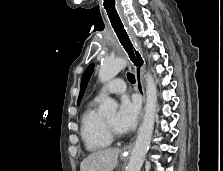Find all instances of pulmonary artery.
Segmentation results:
<instances>
[{"instance_id":"1","label":"pulmonary artery","mask_w":223,"mask_h":171,"mask_svg":"<svg viewBox=\"0 0 223 171\" xmlns=\"http://www.w3.org/2000/svg\"><path fill=\"white\" fill-rule=\"evenodd\" d=\"M126 90V84L123 79L117 78L110 81L104 88L105 92L111 94H121ZM101 94H98L96 98H100Z\"/></svg>"}]
</instances>
